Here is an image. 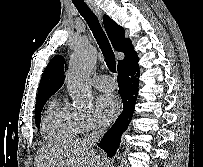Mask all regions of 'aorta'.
Segmentation results:
<instances>
[{"instance_id":"762f6f07","label":"aorta","mask_w":203,"mask_h":167,"mask_svg":"<svg viewBox=\"0 0 203 167\" xmlns=\"http://www.w3.org/2000/svg\"><path fill=\"white\" fill-rule=\"evenodd\" d=\"M97 51L87 42L78 45L71 56L68 74V92L78 106H87L92 101L88 79L96 65Z\"/></svg>"}]
</instances>
